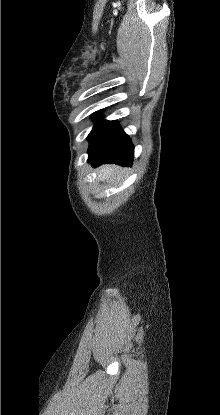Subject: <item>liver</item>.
<instances>
[{
  "mask_svg": "<svg viewBox=\"0 0 220 415\" xmlns=\"http://www.w3.org/2000/svg\"><path fill=\"white\" fill-rule=\"evenodd\" d=\"M116 174V167L113 165H105L102 166L98 173V179L100 180H107L112 179L114 175Z\"/></svg>",
  "mask_w": 220,
  "mask_h": 415,
  "instance_id": "6515ba94",
  "label": "liver"
}]
</instances>
